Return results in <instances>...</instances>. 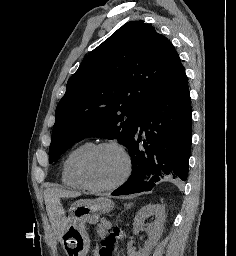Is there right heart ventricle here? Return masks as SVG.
Instances as JSON below:
<instances>
[{"label":"right heart ventricle","mask_w":236,"mask_h":256,"mask_svg":"<svg viewBox=\"0 0 236 256\" xmlns=\"http://www.w3.org/2000/svg\"><path fill=\"white\" fill-rule=\"evenodd\" d=\"M91 142H83L74 147L64 158L61 166V182L68 188L83 190L84 187L78 178V163L83 154L91 147Z\"/></svg>","instance_id":"right-heart-ventricle-1"}]
</instances>
